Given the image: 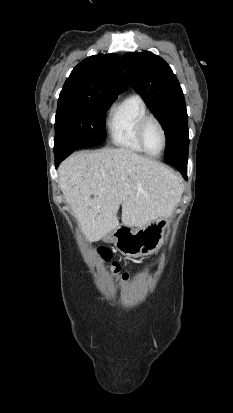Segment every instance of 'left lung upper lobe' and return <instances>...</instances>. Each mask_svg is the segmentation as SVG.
Masks as SVG:
<instances>
[{"label":"left lung upper lobe","instance_id":"1","mask_svg":"<svg viewBox=\"0 0 233 413\" xmlns=\"http://www.w3.org/2000/svg\"><path fill=\"white\" fill-rule=\"evenodd\" d=\"M126 74L132 88L139 93L163 126L168 164L187 163L188 116L179 81L169 65L151 52L126 53Z\"/></svg>","mask_w":233,"mask_h":413}]
</instances>
